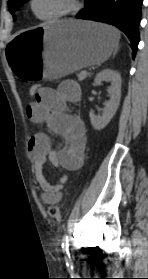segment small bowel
Instances as JSON below:
<instances>
[{
  "label": "small bowel",
  "mask_w": 148,
  "mask_h": 279,
  "mask_svg": "<svg viewBox=\"0 0 148 279\" xmlns=\"http://www.w3.org/2000/svg\"><path fill=\"white\" fill-rule=\"evenodd\" d=\"M80 87L74 81L62 82L57 89L43 87L39 96L26 107V114L31 122L45 124L55 134L63 136L67 145L60 150H54L50 138L45 133H37L29 141V152L34 163L37 183L42 190L45 202H56L61 197L67 175L58 181L50 182L43 173L47 161L56 167L74 171L83 164L86 132L80 118L68 110V104L80 97Z\"/></svg>",
  "instance_id": "1"
}]
</instances>
